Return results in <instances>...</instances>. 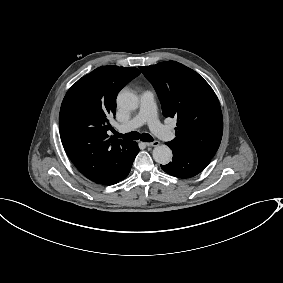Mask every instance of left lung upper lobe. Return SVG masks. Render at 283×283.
Wrapping results in <instances>:
<instances>
[{"label":"left lung upper lobe","instance_id":"1","mask_svg":"<svg viewBox=\"0 0 283 283\" xmlns=\"http://www.w3.org/2000/svg\"><path fill=\"white\" fill-rule=\"evenodd\" d=\"M154 86L163 115L176 117L174 147L212 159L223 133L220 104L210 85L194 70L175 61L139 67Z\"/></svg>","mask_w":283,"mask_h":283}]
</instances>
